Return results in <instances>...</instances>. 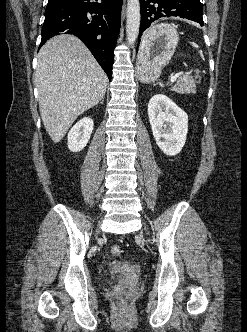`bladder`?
<instances>
[{"instance_id": "31cf9c89", "label": "bladder", "mask_w": 247, "mask_h": 332, "mask_svg": "<svg viewBox=\"0 0 247 332\" xmlns=\"http://www.w3.org/2000/svg\"><path fill=\"white\" fill-rule=\"evenodd\" d=\"M114 277H116V275H112V276H111V278H114Z\"/></svg>"}]
</instances>
